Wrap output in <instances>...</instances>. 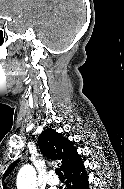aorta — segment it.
Returning <instances> with one entry per match:
<instances>
[{
    "label": "aorta",
    "mask_w": 124,
    "mask_h": 189,
    "mask_svg": "<svg viewBox=\"0 0 124 189\" xmlns=\"http://www.w3.org/2000/svg\"><path fill=\"white\" fill-rule=\"evenodd\" d=\"M36 171L31 165H24L17 176V189H35Z\"/></svg>",
    "instance_id": "762f6f07"
}]
</instances>
